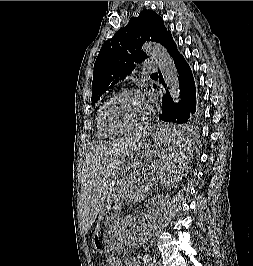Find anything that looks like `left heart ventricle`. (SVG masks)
I'll return each instance as SVG.
<instances>
[{
	"label": "left heart ventricle",
	"instance_id": "1",
	"mask_svg": "<svg viewBox=\"0 0 253 266\" xmlns=\"http://www.w3.org/2000/svg\"><path fill=\"white\" fill-rule=\"evenodd\" d=\"M149 112L150 108L144 96L126 95L109 108L107 122L112 127L126 129L141 123Z\"/></svg>",
	"mask_w": 253,
	"mask_h": 266
}]
</instances>
